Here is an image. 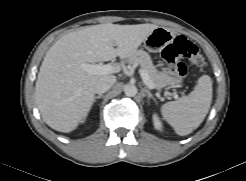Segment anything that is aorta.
Masks as SVG:
<instances>
[{"label": "aorta", "instance_id": "762f6f07", "mask_svg": "<svg viewBox=\"0 0 246 181\" xmlns=\"http://www.w3.org/2000/svg\"><path fill=\"white\" fill-rule=\"evenodd\" d=\"M137 87L133 84H127L124 87V93L128 97H134L137 94Z\"/></svg>", "mask_w": 246, "mask_h": 181}]
</instances>
